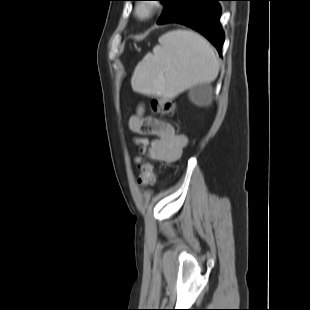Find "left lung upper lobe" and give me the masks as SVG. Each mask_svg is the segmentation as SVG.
<instances>
[{"label":"left lung upper lobe","mask_w":310,"mask_h":310,"mask_svg":"<svg viewBox=\"0 0 310 310\" xmlns=\"http://www.w3.org/2000/svg\"><path fill=\"white\" fill-rule=\"evenodd\" d=\"M165 4V9L160 17L159 24L171 23L184 6L186 0H157Z\"/></svg>","instance_id":"obj_1"}]
</instances>
